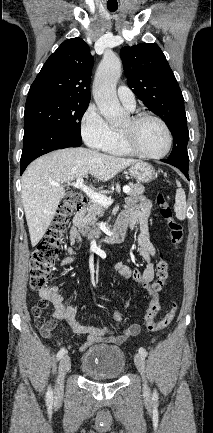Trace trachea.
Wrapping results in <instances>:
<instances>
[{
  "mask_svg": "<svg viewBox=\"0 0 213 433\" xmlns=\"http://www.w3.org/2000/svg\"><path fill=\"white\" fill-rule=\"evenodd\" d=\"M108 10H109L110 12H115V11L117 10V8L108 7Z\"/></svg>",
  "mask_w": 213,
  "mask_h": 433,
  "instance_id": "3493384b",
  "label": "trachea"
}]
</instances>
